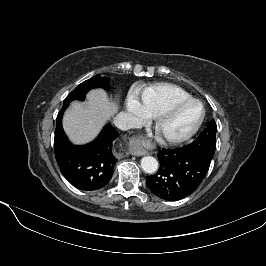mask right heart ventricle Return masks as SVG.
Masks as SVG:
<instances>
[{"instance_id":"1","label":"right heart ventricle","mask_w":266,"mask_h":266,"mask_svg":"<svg viewBox=\"0 0 266 266\" xmlns=\"http://www.w3.org/2000/svg\"><path fill=\"white\" fill-rule=\"evenodd\" d=\"M192 99V96L179 86L159 83L142 91L143 104L150 116H158L173 105Z\"/></svg>"}]
</instances>
